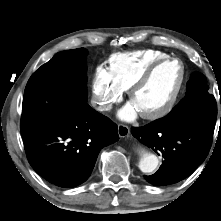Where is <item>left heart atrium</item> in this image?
Returning <instances> with one entry per match:
<instances>
[{"label":"left heart atrium","mask_w":221,"mask_h":221,"mask_svg":"<svg viewBox=\"0 0 221 221\" xmlns=\"http://www.w3.org/2000/svg\"><path fill=\"white\" fill-rule=\"evenodd\" d=\"M139 114V110L132 101L127 103L120 111L119 117L126 121L134 120Z\"/></svg>","instance_id":"obj_1"}]
</instances>
